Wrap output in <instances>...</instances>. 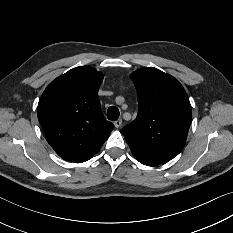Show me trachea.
<instances>
[{"instance_id":"obj_1","label":"trachea","mask_w":233,"mask_h":233,"mask_svg":"<svg viewBox=\"0 0 233 233\" xmlns=\"http://www.w3.org/2000/svg\"><path fill=\"white\" fill-rule=\"evenodd\" d=\"M119 114H120L119 109L116 106H111L107 110V118L109 120L112 121L117 120L119 118Z\"/></svg>"}]
</instances>
